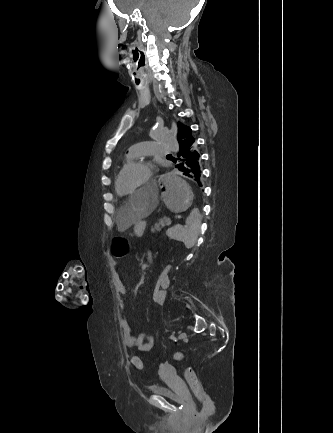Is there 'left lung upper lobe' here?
I'll use <instances>...</instances> for the list:
<instances>
[{
  "instance_id": "left-lung-upper-lobe-1",
  "label": "left lung upper lobe",
  "mask_w": 333,
  "mask_h": 433,
  "mask_svg": "<svg viewBox=\"0 0 333 433\" xmlns=\"http://www.w3.org/2000/svg\"><path fill=\"white\" fill-rule=\"evenodd\" d=\"M178 142H179V147L181 146V144L183 142H187V141H191L192 143L195 141L194 137L192 136L191 133V128L183 125L182 123H178Z\"/></svg>"
}]
</instances>
